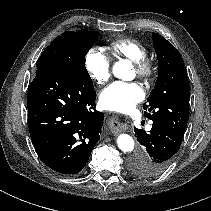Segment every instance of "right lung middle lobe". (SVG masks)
<instances>
[{
  "mask_svg": "<svg viewBox=\"0 0 211 211\" xmlns=\"http://www.w3.org/2000/svg\"><path fill=\"white\" fill-rule=\"evenodd\" d=\"M99 36V32L84 29L77 32H64L44 49L41 56H53L58 65L72 73L78 80L93 87L91 77L84 65L85 55Z\"/></svg>",
  "mask_w": 211,
  "mask_h": 211,
  "instance_id": "right-lung-middle-lobe-1",
  "label": "right lung middle lobe"
}]
</instances>
